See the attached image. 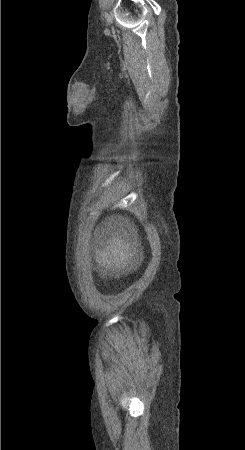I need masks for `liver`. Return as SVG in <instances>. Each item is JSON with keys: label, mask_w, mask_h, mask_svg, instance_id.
Wrapping results in <instances>:
<instances>
[{"label": "liver", "mask_w": 245, "mask_h": 450, "mask_svg": "<svg viewBox=\"0 0 245 450\" xmlns=\"http://www.w3.org/2000/svg\"><path fill=\"white\" fill-rule=\"evenodd\" d=\"M135 253L133 244L124 240L122 235L115 234L109 238L104 249L95 252V261L105 269L124 268L131 265Z\"/></svg>", "instance_id": "obj_1"}]
</instances>
